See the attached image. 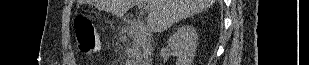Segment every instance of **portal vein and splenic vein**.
<instances>
[{
  "mask_svg": "<svg viewBox=\"0 0 309 65\" xmlns=\"http://www.w3.org/2000/svg\"><path fill=\"white\" fill-rule=\"evenodd\" d=\"M144 10H145L146 12H148V11H149V6L144 7Z\"/></svg>",
  "mask_w": 309,
  "mask_h": 65,
  "instance_id": "portal-vein-and-splenic-vein-1",
  "label": "portal vein and splenic vein"
}]
</instances>
